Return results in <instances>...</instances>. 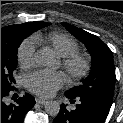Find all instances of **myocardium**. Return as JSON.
Here are the masks:
<instances>
[{
    "label": "myocardium",
    "mask_w": 123,
    "mask_h": 123,
    "mask_svg": "<svg viewBox=\"0 0 123 123\" xmlns=\"http://www.w3.org/2000/svg\"><path fill=\"white\" fill-rule=\"evenodd\" d=\"M61 65L74 80L84 78L91 69V61L89 57L78 51L62 57Z\"/></svg>",
    "instance_id": "myocardium-1"
}]
</instances>
